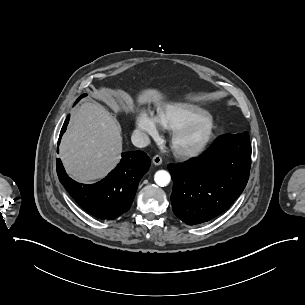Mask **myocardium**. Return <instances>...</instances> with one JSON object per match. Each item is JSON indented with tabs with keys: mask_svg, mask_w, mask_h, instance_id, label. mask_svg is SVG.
Wrapping results in <instances>:
<instances>
[{
	"mask_svg": "<svg viewBox=\"0 0 305 305\" xmlns=\"http://www.w3.org/2000/svg\"><path fill=\"white\" fill-rule=\"evenodd\" d=\"M199 126L205 128L204 136L198 140L190 139V131ZM218 131V122L213 115L187 123L177 129L173 135L172 147L174 153L181 157H190L199 154L214 142Z\"/></svg>",
	"mask_w": 305,
	"mask_h": 305,
	"instance_id": "obj_1",
	"label": "myocardium"
}]
</instances>
